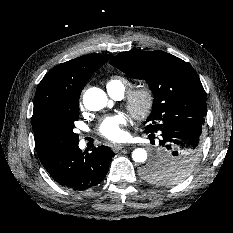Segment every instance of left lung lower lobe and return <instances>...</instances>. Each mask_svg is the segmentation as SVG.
I'll return each mask as SVG.
<instances>
[{
    "label": "left lung lower lobe",
    "instance_id": "obj_1",
    "mask_svg": "<svg viewBox=\"0 0 233 233\" xmlns=\"http://www.w3.org/2000/svg\"><path fill=\"white\" fill-rule=\"evenodd\" d=\"M203 125V122L193 119L174 120L163 124L158 130V152L152 162L165 164L184 156L198 160L201 155ZM147 133H150V138H154V132Z\"/></svg>",
    "mask_w": 233,
    "mask_h": 233
}]
</instances>
